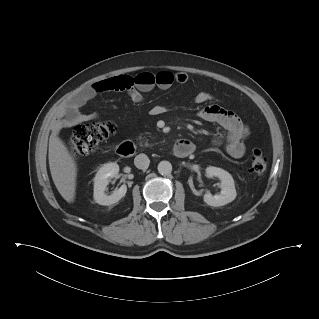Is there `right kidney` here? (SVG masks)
Segmentation results:
<instances>
[{"label": "right kidney", "instance_id": "1", "mask_svg": "<svg viewBox=\"0 0 319 319\" xmlns=\"http://www.w3.org/2000/svg\"><path fill=\"white\" fill-rule=\"evenodd\" d=\"M119 173V165L117 163H106L96 173L94 177V199L100 205L109 206L117 203L127 192V186L123 184L119 189L107 196L105 189L110 178H114Z\"/></svg>", "mask_w": 319, "mask_h": 319}]
</instances>
